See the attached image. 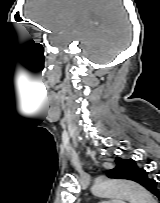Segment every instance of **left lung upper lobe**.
Here are the masks:
<instances>
[{"label":"left lung upper lobe","mask_w":160,"mask_h":203,"mask_svg":"<svg viewBox=\"0 0 160 203\" xmlns=\"http://www.w3.org/2000/svg\"><path fill=\"white\" fill-rule=\"evenodd\" d=\"M115 163L116 167L108 171L109 176L135 181L147 189L152 179L148 177V173L144 169L137 166L134 160L117 157Z\"/></svg>","instance_id":"obj_1"}]
</instances>
